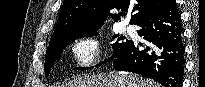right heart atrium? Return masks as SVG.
Wrapping results in <instances>:
<instances>
[{
	"instance_id": "d8ad5b80",
	"label": "right heart atrium",
	"mask_w": 205,
	"mask_h": 87,
	"mask_svg": "<svg viewBox=\"0 0 205 87\" xmlns=\"http://www.w3.org/2000/svg\"><path fill=\"white\" fill-rule=\"evenodd\" d=\"M102 53L101 42L96 36L87 35L76 40L71 46V54L80 67L93 66L99 62Z\"/></svg>"
}]
</instances>
